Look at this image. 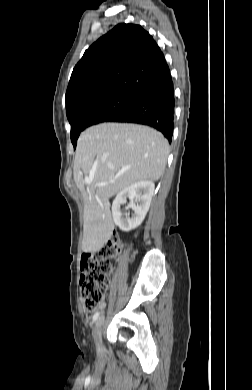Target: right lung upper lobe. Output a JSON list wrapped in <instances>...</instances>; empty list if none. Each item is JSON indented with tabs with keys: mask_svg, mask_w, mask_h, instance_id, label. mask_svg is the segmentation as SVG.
<instances>
[{
	"mask_svg": "<svg viewBox=\"0 0 252 390\" xmlns=\"http://www.w3.org/2000/svg\"><path fill=\"white\" fill-rule=\"evenodd\" d=\"M169 75L153 37L139 25L118 24L94 42L73 69L66 91V113L106 96H135Z\"/></svg>",
	"mask_w": 252,
	"mask_h": 390,
	"instance_id": "1",
	"label": "right lung upper lobe"
}]
</instances>
